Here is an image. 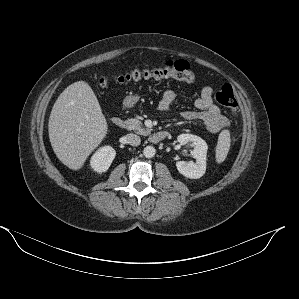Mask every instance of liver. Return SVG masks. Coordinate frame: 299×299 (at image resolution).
Returning <instances> with one entry per match:
<instances>
[{
	"mask_svg": "<svg viewBox=\"0 0 299 299\" xmlns=\"http://www.w3.org/2000/svg\"><path fill=\"white\" fill-rule=\"evenodd\" d=\"M108 125L98 99L85 81L69 85L56 100L48 124L57 158L79 170L105 138Z\"/></svg>",
	"mask_w": 299,
	"mask_h": 299,
	"instance_id": "liver-1",
	"label": "liver"
}]
</instances>
